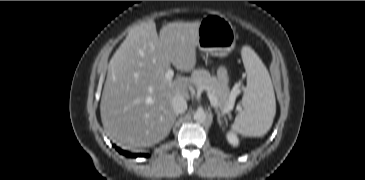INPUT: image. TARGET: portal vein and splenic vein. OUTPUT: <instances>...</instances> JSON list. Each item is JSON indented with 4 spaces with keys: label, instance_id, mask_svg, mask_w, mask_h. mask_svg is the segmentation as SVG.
Here are the masks:
<instances>
[{
    "label": "portal vein and splenic vein",
    "instance_id": "18ae733b",
    "mask_svg": "<svg viewBox=\"0 0 365 180\" xmlns=\"http://www.w3.org/2000/svg\"><path fill=\"white\" fill-rule=\"evenodd\" d=\"M173 76H174V71L169 68L165 73L166 80L171 81ZM208 98L210 100L211 105H213L214 107H218L217 98L213 94H211L210 92L208 93ZM232 108H233V105H231L228 108L224 109L223 112L228 113Z\"/></svg>",
    "mask_w": 365,
    "mask_h": 180
}]
</instances>
